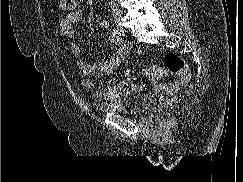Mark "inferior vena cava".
Returning <instances> with one entry per match:
<instances>
[{
    "instance_id": "obj_1",
    "label": "inferior vena cava",
    "mask_w": 243,
    "mask_h": 182,
    "mask_svg": "<svg viewBox=\"0 0 243 182\" xmlns=\"http://www.w3.org/2000/svg\"><path fill=\"white\" fill-rule=\"evenodd\" d=\"M110 5H111V8H112L113 15H119L120 10H119L117 0H110Z\"/></svg>"
}]
</instances>
